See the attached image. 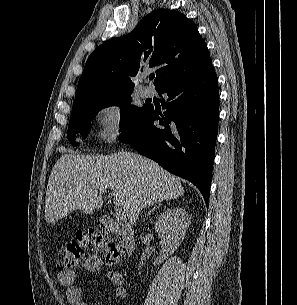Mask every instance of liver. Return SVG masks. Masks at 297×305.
I'll use <instances>...</instances> for the list:
<instances>
[{
    "label": "liver",
    "mask_w": 297,
    "mask_h": 305,
    "mask_svg": "<svg viewBox=\"0 0 297 305\" xmlns=\"http://www.w3.org/2000/svg\"><path fill=\"white\" fill-rule=\"evenodd\" d=\"M110 188L114 204L123 208L131 224L143 208L184 194L174 175L143 156L123 151L108 156L71 152L62 155L51 171L45 197L46 222L54 223L74 209L93 214L102 208L103 196Z\"/></svg>",
    "instance_id": "obj_1"
}]
</instances>
